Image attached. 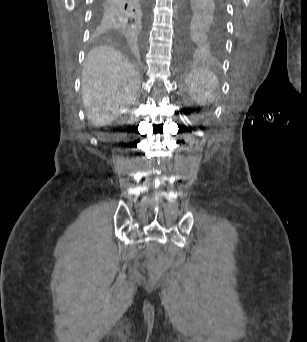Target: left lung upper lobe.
Instances as JSON below:
<instances>
[{"label": "left lung upper lobe", "mask_w": 307, "mask_h": 342, "mask_svg": "<svg viewBox=\"0 0 307 342\" xmlns=\"http://www.w3.org/2000/svg\"><path fill=\"white\" fill-rule=\"evenodd\" d=\"M182 47L220 53L225 43V0H183Z\"/></svg>", "instance_id": "obj_1"}]
</instances>
